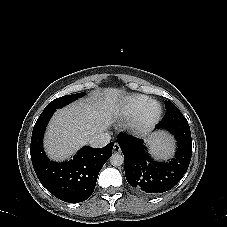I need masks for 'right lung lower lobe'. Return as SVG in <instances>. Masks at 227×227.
<instances>
[{"label":"right lung lower lobe","instance_id":"98d812e1","mask_svg":"<svg viewBox=\"0 0 227 227\" xmlns=\"http://www.w3.org/2000/svg\"><path fill=\"white\" fill-rule=\"evenodd\" d=\"M55 110L43 111L34 125L30 145L32 165L41 184L55 197L68 203L82 202L92 195L98 174L112 155L114 143L99 149L86 146L68 162L50 161L42 140Z\"/></svg>","mask_w":227,"mask_h":227}]
</instances>
